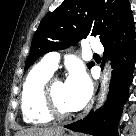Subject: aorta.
I'll return each instance as SVG.
<instances>
[{
    "instance_id": "1",
    "label": "aorta",
    "mask_w": 136,
    "mask_h": 136,
    "mask_svg": "<svg viewBox=\"0 0 136 136\" xmlns=\"http://www.w3.org/2000/svg\"><path fill=\"white\" fill-rule=\"evenodd\" d=\"M107 80H108V72H105L102 86L105 87V83L107 82ZM102 95L104 96V93Z\"/></svg>"
}]
</instances>
